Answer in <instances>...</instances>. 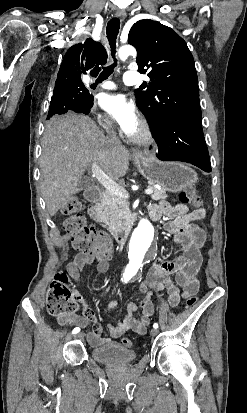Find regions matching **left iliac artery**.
I'll use <instances>...</instances> for the list:
<instances>
[{
  "instance_id": "obj_1",
  "label": "left iliac artery",
  "mask_w": 247,
  "mask_h": 413,
  "mask_svg": "<svg viewBox=\"0 0 247 413\" xmlns=\"http://www.w3.org/2000/svg\"><path fill=\"white\" fill-rule=\"evenodd\" d=\"M153 327H154L155 329H157V328H158V324H157V323H154Z\"/></svg>"
}]
</instances>
